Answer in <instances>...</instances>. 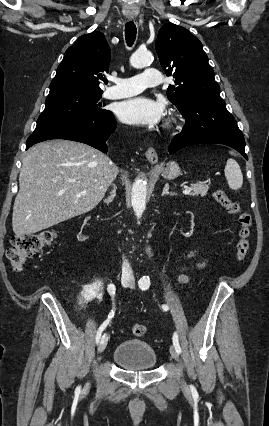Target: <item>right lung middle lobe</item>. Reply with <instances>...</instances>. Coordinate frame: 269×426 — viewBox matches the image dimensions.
<instances>
[{
  "mask_svg": "<svg viewBox=\"0 0 269 426\" xmlns=\"http://www.w3.org/2000/svg\"><path fill=\"white\" fill-rule=\"evenodd\" d=\"M101 95L102 92L74 89L50 92L33 134L104 114L106 110L101 108L102 103L99 102Z\"/></svg>",
  "mask_w": 269,
  "mask_h": 426,
  "instance_id": "1",
  "label": "right lung middle lobe"
}]
</instances>
